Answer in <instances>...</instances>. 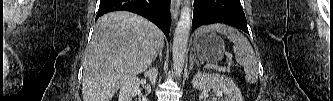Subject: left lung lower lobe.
<instances>
[{
  "mask_svg": "<svg viewBox=\"0 0 333 101\" xmlns=\"http://www.w3.org/2000/svg\"><path fill=\"white\" fill-rule=\"evenodd\" d=\"M225 23L249 34L240 0H194L192 26Z\"/></svg>",
  "mask_w": 333,
  "mask_h": 101,
  "instance_id": "obj_1",
  "label": "left lung lower lobe"
}]
</instances>
